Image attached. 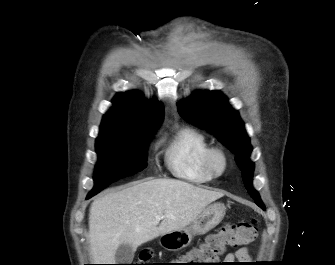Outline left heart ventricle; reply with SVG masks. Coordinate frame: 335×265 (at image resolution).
Instances as JSON below:
<instances>
[{"instance_id":"b2bd125f","label":"left heart ventricle","mask_w":335,"mask_h":265,"mask_svg":"<svg viewBox=\"0 0 335 265\" xmlns=\"http://www.w3.org/2000/svg\"><path fill=\"white\" fill-rule=\"evenodd\" d=\"M216 164H217V166L220 167V166H221V161H220V160H217V161H216Z\"/></svg>"}]
</instances>
